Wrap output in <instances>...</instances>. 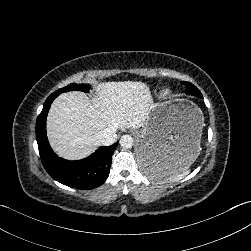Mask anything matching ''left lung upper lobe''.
<instances>
[{
  "label": "left lung upper lobe",
  "mask_w": 251,
  "mask_h": 251,
  "mask_svg": "<svg viewBox=\"0 0 251 251\" xmlns=\"http://www.w3.org/2000/svg\"><path fill=\"white\" fill-rule=\"evenodd\" d=\"M182 84H184L186 86V94L194 95L199 98H203L201 92L199 91V89L196 86H194L193 84L186 82V81H183Z\"/></svg>",
  "instance_id": "5c2ea615"
}]
</instances>
